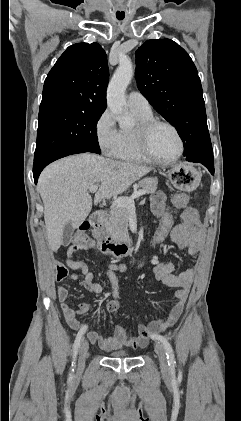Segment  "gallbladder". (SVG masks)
<instances>
[{"label":"gallbladder","instance_id":"1","mask_svg":"<svg viewBox=\"0 0 241 421\" xmlns=\"http://www.w3.org/2000/svg\"><path fill=\"white\" fill-rule=\"evenodd\" d=\"M74 228L72 224L69 222L65 225L64 231H63V241L62 244L64 246H68L72 240V234H73Z\"/></svg>","mask_w":241,"mask_h":421}]
</instances>
